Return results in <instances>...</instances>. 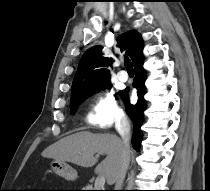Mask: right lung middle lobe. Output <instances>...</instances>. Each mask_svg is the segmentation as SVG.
Masks as SVG:
<instances>
[{"mask_svg":"<svg viewBox=\"0 0 210 191\" xmlns=\"http://www.w3.org/2000/svg\"><path fill=\"white\" fill-rule=\"evenodd\" d=\"M108 85V83L98 87L97 89L93 90V91H90L86 94H83V95H80L74 99H71V106H70V109H71V113L74 114L78 108V106L87 98L89 97L90 95H92L93 93L97 92L98 90L100 89H103L104 87H106Z\"/></svg>","mask_w":210,"mask_h":191,"instance_id":"right-lung-middle-lobe-1","label":"right lung middle lobe"}]
</instances>
